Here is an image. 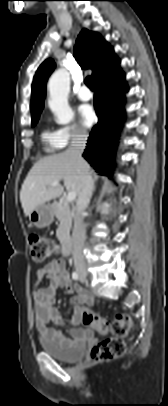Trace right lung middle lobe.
Instances as JSON below:
<instances>
[{
	"mask_svg": "<svg viewBox=\"0 0 168 406\" xmlns=\"http://www.w3.org/2000/svg\"><path fill=\"white\" fill-rule=\"evenodd\" d=\"M37 123V120L32 121V126H34Z\"/></svg>",
	"mask_w": 168,
	"mask_h": 406,
	"instance_id": "dd1d6c3e",
	"label": "right lung middle lobe"
}]
</instances>
